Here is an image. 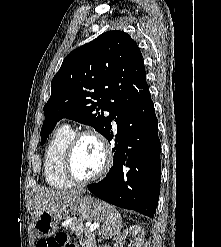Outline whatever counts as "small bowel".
<instances>
[{"instance_id": "1", "label": "small bowel", "mask_w": 221, "mask_h": 247, "mask_svg": "<svg viewBox=\"0 0 221 247\" xmlns=\"http://www.w3.org/2000/svg\"><path fill=\"white\" fill-rule=\"evenodd\" d=\"M45 240H39L36 244V247H40L39 246V243H43ZM68 247H76V246H72V245H69Z\"/></svg>"}]
</instances>
